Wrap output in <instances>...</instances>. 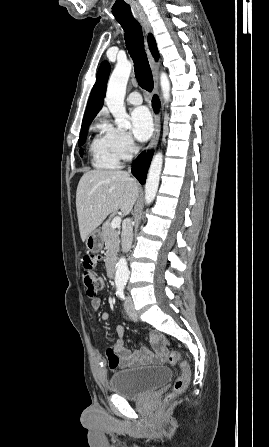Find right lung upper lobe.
<instances>
[{"instance_id": "right-lung-upper-lobe-1", "label": "right lung upper lobe", "mask_w": 269, "mask_h": 447, "mask_svg": "<svg viewBox=\"0 0 269 447\" xmlns=\"http://www.w3.org/2000/svg\"><path fill=\"white\" fill-rule=\"evenodd\" d=\"M148 44L150 46V50L153 56L158 59V50L156 47V42L154 37L149 34L148 35ZM110 74V66L108 62H103L97 73V81L92 89L86 112L83 118L82 125L91 123L95 118L97 113L101 110L103 106V99L106 93L107 80Z\"/></svg>"}]
</instances>
